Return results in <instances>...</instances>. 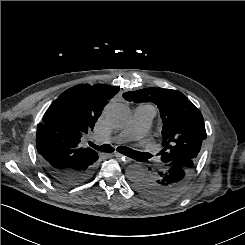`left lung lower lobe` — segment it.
<instances>
[{"mask_svg":"<svg viewBox=\"0 0 245 245\" xmlns=\"http://www.w3.org/2000/svg\"><path fill=\"white\" fill-rule=\"evenodd\" d=\"M195 161L180 158L164 163L159 172L144 175L134 182V186L137 191L149 198H167L182 188L193 170Z\"/></svg>","mask_w":245,"mask_h":245,"instance_id":"obj_1","label":"left lung lower lobe"}]
</instances>
